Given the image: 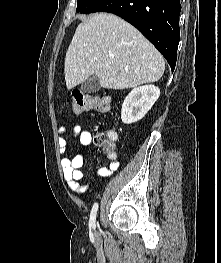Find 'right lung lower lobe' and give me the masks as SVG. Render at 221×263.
<instances>
[{
    "label": "right lung lower lobe",
    "mask_w": 221,
    "mask_h": 263,
    "mask_svg": "<svg viewBox=\"0 0 221 263\" xmlns=\"http://www.w3.org/2000/svg\"><path fill=\"white\" fill-rule=\"evenodd\" d=\"M180 11V0H104L93 12L113 13L135 26L173 71L180 39Z\"/></svg>",
    "instance_id": "98d812e1"
}]
</instances>
